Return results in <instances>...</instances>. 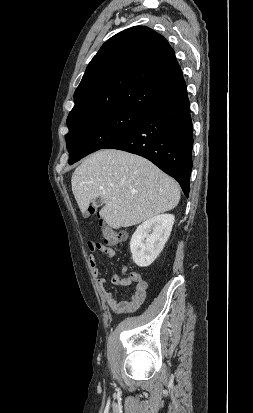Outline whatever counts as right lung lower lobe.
I'll return each instance as SVG.
<instances>
[{"label":"right lung lower lobe","instance_id":"1","mask_svg":"<svg viewBox=\"0 0 253 413\" xmlns=\"http://www.w3.org/2000/svg\"><path fill=\"white\" fill-rule=\"evenodd\" d=\"M105 148L147 158L175 178L188 196L193 164V124L187 91L148 110L133 130Z\"/></svg>","mask_w":253,"mask_h":413}]
</instances>
